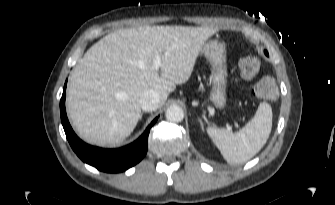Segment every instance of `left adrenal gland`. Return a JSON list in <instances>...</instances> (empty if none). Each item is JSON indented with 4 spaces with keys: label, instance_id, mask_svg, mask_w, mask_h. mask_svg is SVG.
I'll return each instance as SVG.
<instances>
[{
    "label": "left adrenal gland",
    "instance_id": "left-adrenal-gland-1",
    "mask_svg": "<svg viewBox=\"0 0 335 205\" xmlns=\"http://www.w3.org/2000/svg\"><path fill=\"white\" fill-rule=\"evenodd\" d=\"M198 120H199V122H200V125H201L202 130L204 131V125H203V121H202V119H201V118H198Z\"/></svg>",
    "mask_w": 335,
    "mask_h": 205
}]
</instances>
